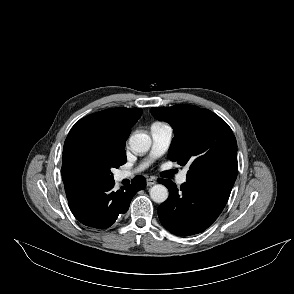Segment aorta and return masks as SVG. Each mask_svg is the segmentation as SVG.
Wrapping results in <instances>:
<instances>
[{"instance_id":"aorta-1","label":"aorta","mask_w":294,"mask_h":294,"mask_svg":"<svg viewBox=\"0 0 294 294\" xmlns=\"http://www.w3.org/2000/svg\"><path fill=\"white\" fill-rule=\"evenodd\" d=\"M129 145L134 152L145 153L151 147V138L147 134L136 133L130 137ZM168 195V189L162 184L154 185L150 189V197L156 203L165 202L168 198Z\"/></svg>"}]
</instances>
